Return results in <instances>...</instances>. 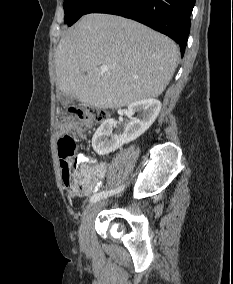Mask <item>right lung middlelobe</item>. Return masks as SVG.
Masks as SVG:
<instances>
[{
    "label": "right lung middle lobe",
    "instance_id": "1",
    "mask_svg": "<svg viewBox=\"0 0 233 284\" xmlns=\"http://www.w3.org/2000/svg\"><path fill=\"white\" fill-rule=\"evenodd\" d=\"M108 0H65L63 8L65 11L64 22L71 26L81 16L92 13Z\"/></svg>",
    "mask_w": 233,
    "mask_h": 284
}]
</instances>
